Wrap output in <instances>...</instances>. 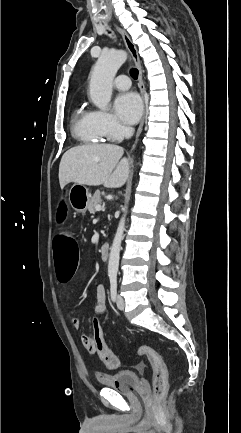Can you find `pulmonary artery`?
I'll return each instance as SVG.
<instances>
[{
    "label": "pulmonary artery",
    "mask_w": 241,
    "mask_h": 433,
    "mask_svg": "<svg viewBox=\"0 0 241 433\" xmlns=\"http://www.w3.org/2000/svg\"><path fill=\"white\" fill-rule=\"evenodd\" d=\"M131 83H130V79L127 75H119L115 80H114V86L118 89V90H126L130 87Z\"/></svg>",
    "instance_id": "e3ab8cb5"
}]
</instances>
